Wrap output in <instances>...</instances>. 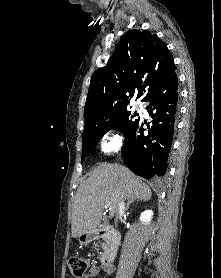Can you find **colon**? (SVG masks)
<instances>
[{
	"label": "colon",
	"mask_w": 221,
	"mask_h": 278,
	"mask_svg": "<svg viewBox=\"0 0 221 278\" xmlns=\"http://www.w3.org/2000/svg\"><path fill=\"white\" fill-rule=\"evenodd\" d=\"M69 268L76 278H85L91 269L90 261L84 257H72L69 260Z\"/></svg>",
	"instance_id": "1"
}]
</instances>
